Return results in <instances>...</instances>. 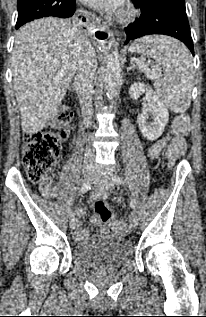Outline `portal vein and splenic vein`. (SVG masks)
Listing matches in <instances>:
<instances>
[{
    "instance_id": "18ae733b",
    "label": "portal vein and splenic vein",
    "mask_w": 206,
    "mask_h": 317,
    "mask_svg": "<svg viewBox=\"0 0 206 317\" xmlns=\"http://www.w3.org/2000/svg\"><path fill=\"white\" fill-rule=\"evenodd\" d=\"M50 61H51L52 64H59V62L56 59H50ZM131 62L136 63L140 67V69H142L144 71V73L147 75V77L150 78V79H156V78L161 76L160 72L150 71L147 68V65L144 63V61H142L140 59L132 58Z\"/></svg>"
}]
</instances>
